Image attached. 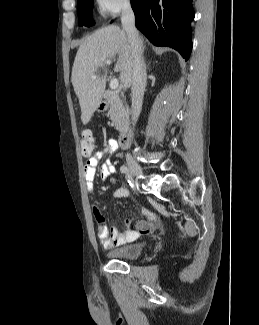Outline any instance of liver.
<instances>
[{
  "label": "liver",
  "mask_w": 259,
  "mask_h": 325,
  "mask_svg": "<svg viewBox=\"0 0 259 325\" xmlns=\"http://www.w3.org/2000/svg\"><path fill=\"white\" fill-rule=\"evenodd\" d=\"M143 46V40L140 38ZM118 56L114 71L120 72V81L125 87L132 84L133 49L126 32L120 27H103L80 45L72 68L71 81L81 107V120L86 125L102 101L106 77L95 75L107 60Z\"/></svg>",
  "instance_id": "obj_1"
}]
</instances>
